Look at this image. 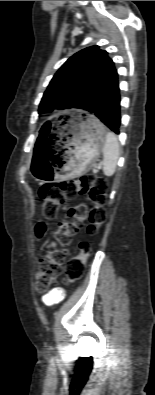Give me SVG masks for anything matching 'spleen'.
I'll list each match as a JSON object with an SVG mask.
<instances>
[{"label":"spleen","instance_id":"3e777b00","mask_svg":"<svg viewBox=\"0 0 155 395\" xmlns=\"http://www.w3.org/2000/svg\"><path fill=\"white\" fill-rule=\"evenodd\" d=\"M103 152V172L106 176H112L115 172L119 158V143L112 132H107Z\"/></svg>","mask_w":155,"mask_h":395}]
</instances>
